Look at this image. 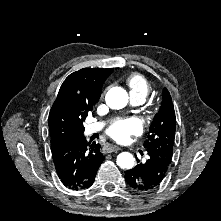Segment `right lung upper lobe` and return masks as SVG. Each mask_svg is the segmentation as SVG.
<instances>
[{
    "instance_id": "cb5924a9",
    "label": "right lung upper lobe",
    "mask_w": 221,
    "mask_h": 221,
    "mask_svg": "<svg viewBox=\"0 0 221 221\" xmlns=\"http://www.w3.org/2000/svg\"><path fill=\"white\" fill-rule=\"evenodd\" d=\"M113 68H84L70 74L60 87L49 114L51 150L83 134V121L98 102Z\"/></svg>"
}]
</instances>
